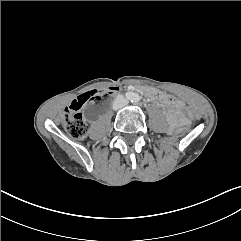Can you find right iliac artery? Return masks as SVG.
I'll list each match as a JSON object with an SVG mask.
<instances>
[{"mask_svg":"<svg viewBox=\"0 0 241 241\" xmlns=\"http://www.w3.org/2000/svg\"><path fill=\"white\" fill-rule=\"evenodd\" d=\"M126 98H127L128 100H131V99L133 98V94L130 93V92L126 93Z\"/></svg>","mask_w":241,"mask_h":241,"instance_id":"82829eb1","label":"right iliac artery"}]
</instances>
